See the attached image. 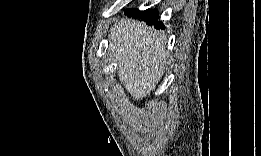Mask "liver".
Here are the masks:
<instances>
[{"label": "liver", "mask_w": 261, "mask_h": 156, "mask_svg": "<svg viewBox=\"0 0 261 156\" xmlns=\"http://www.w3.org/2000/svg\"><path fill=\"white\" fill-rule=\"evenodd\" d=\"M111 57L118 63L120 82L135 100L150 95L164 73L165 42L153 28L121 20L110 34Z\"/></svg>", "instance_id": "liver-1"}]
</instances>
